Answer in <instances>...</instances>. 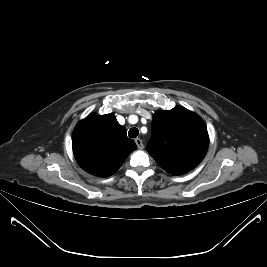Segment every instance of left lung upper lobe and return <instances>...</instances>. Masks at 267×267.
Here are the masks:
<instances>
[{"mask_svg":"<svg viewBox=\"0 0 267 267\" xmlns=\"http://www.w3.org/2000/svg\"><path fill=\"white\" fill-rule=\"evenodd\" d=\"M208 145L207 127L197 114L184 107L154 114L147 150L168 173L181 175L194 169Z\"/></svg>","mask_w":267,"mask_h":267,"instance_id":"obj_1","label":"left lung upper lobe"}]
</instances>
